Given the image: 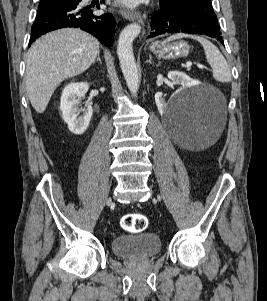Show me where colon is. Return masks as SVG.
Listing matches in <instances>:
<instances>
[{"label":"colon","mask_w":267,"mask_h":301,"mask_svg":"<svg viewBox=\"0 0 267 301\" xmlns=\"http://www.w3.org/2000/svg\"><path fill=\"white\" fill-rule=\"evenodd\" d=\"M121 226L128 232L139 233L147 228L148 219L140 213H129L122 217Z\"/></svg>","instance_id":"5ec220e1"}]
</instances>
